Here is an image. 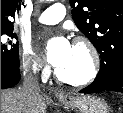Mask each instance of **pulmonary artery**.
<instances>
[{
	"label": "pulmonary artery",
	"instance_id": "1",
	"mask_svg": "<svg viewBox=\"0 0 123 113\" xmlns=\"http://www.w3.org/2000/svg\"><path fill=\"white\" fill-rule=\"evenodd\" d=\"M65 14V6L60 3H55L39 15L38 21L42 24H56L65 17Z\"/></svg>",
	"mask_w": 123,
	"mask_h": 113
}]
</instances>
